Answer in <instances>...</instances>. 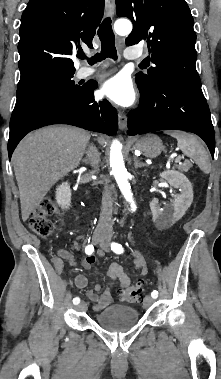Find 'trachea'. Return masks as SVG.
Masks as SVG:
<instances>
[{
	"mask_svg": "<svg viewBox=\"0 0 221 379\" xmlns=\"http://www.w3.org/2000/svg\"><path fill=\"white\" fill-rule=\"evenodd\" d=\"M98 36L101 41V52L95 54L94 57L91 59H88V62L90 64L99 62L104 60L105 58L109 57L114 60L117 59V51L115 47V35L113 33L112 27H111V19L105 18L102 22V24L99 27L98 30ZM80 59L85 58V54L79 55Z\"/></svg>",
	"mask_w": 221,
	"mask_h": 379,
	"instance_id": "3493384b",
	"label": "trachea"
}]
</instances>
